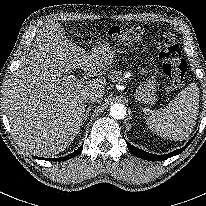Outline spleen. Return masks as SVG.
Here are the masks:
<instances>
[{"mask_svg":"<svg viewBox=\"0 0 206 206\" xmlns=\"http://www.w3.org/2000/svg\"><path fill=\"white\" fill-rule=\"evenodd\" d=\"M199 96L198 86L189 84L166 107L152 112L146 124L161 137L176 141L187 139L196 124Z\"/></svg>","mask_w":206,"mask_h":206,"instance_id":"spleen-1","label":"spleen"}]
</instances>
